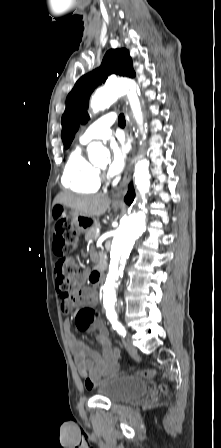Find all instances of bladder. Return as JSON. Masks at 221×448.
I'll return each instance as SVG.
<instances>
[{
	"instance_id": "1",
	"label": "bladder",
	"mask_w": 221,
	"mask_h": 448,
	"mask_svg": "<svg viewBox=\"0 0 221 448\" xmlns=\"http://www.w3.org/2000/svg\"><path fill=\"white\" fill-rule=\"evenodd\" d=\"M147 382L136 375L113 374L97 386L99 395L112 403L135 400L146 393Z\"/></svg>"
}]
</instances>
